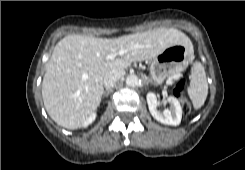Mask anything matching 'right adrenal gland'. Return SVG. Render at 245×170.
Here are the masks:
<instances>
[{
    "mask_svg": "<svg viewBox=\"0 0 245 170\" xmlns=\"http://www.w3.org/2000/svg\"><path fill=\"white\" fill-rule=\"evenodd\" d=\"M111 92H112V88L106 89V91H104L103 93V97L108 96Z\"/></svg>",
    "mask_w": 245,
    "mask_h": 170,
    "instance_id": "right-adrenal-gland-1",
    "label": "right adrenal gland"
}]
</instances>
